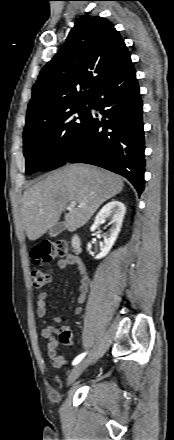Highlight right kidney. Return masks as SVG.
<instances>
[{"label":"right kidney","mask_w":174,"mask_h":440,"mask_svg":"<svg viewBox=\"0 0 174 440\" xmlns=\"http://www.w3.org/2000/svg\"><path fill=\"white\" fill-rule=\"evenodd\" d=\"M125 213H126L125 205L119 201L113 200L107 203L106 205H104V207L96 215L94 223L90 228L91 231H94L96 228H98L106 218H108L111 221V225H112L109 233L106 234L104 237L105 245L102 248L101 252L95 257L96 259H101L105 257L111 250L121 230ZM90 249H91V243H88L87 250Z\"/></svg>","instance_id":"ca27d5eb"}]
</instances>
